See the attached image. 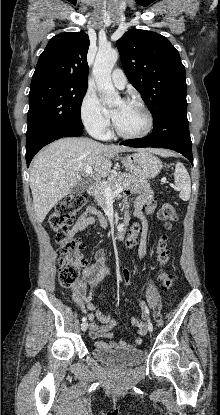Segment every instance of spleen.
<instances>
[{"instance_id": "obj_1", "label": "spleen", "mask_w": 220, "mask_h": 415, "mask_svg": "<svg viewBox=\"0 0 220 415\" xmlns=\"http://www.w3.org/2000/svg\"><path fill=\"white\" fill-rule=\"evenodd\" d=\"M175 184L180 190L179 197L187 201L191 194V180L188 171L182 163H177L174 172Z\"/></svg>"}]
</instances>
